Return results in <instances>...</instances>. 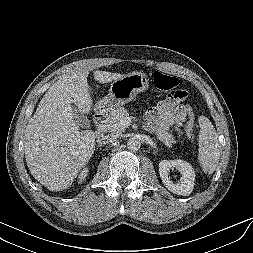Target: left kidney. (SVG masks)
Here are the masks:
<instances>
[{
  "mask_svg": "<svg viewBox=\"0 0 253 253\" xmlns=\"http://www.w3.org/2000/svg\"><path fill=\"white\" fill-rule=\"evenodd\" d=\"M176 169L180 172L181 178L178 183L170 180V169ZM160 178L165 187L174 194L188 196L194 187L195 172L192 166L183 160H162L159 163Z\"/></svg>",
  "mask_w": 253,
  "mask_h": 253,
  "instance_id": "obj_1",
  "label": "left kidney"
}]
</instances>
